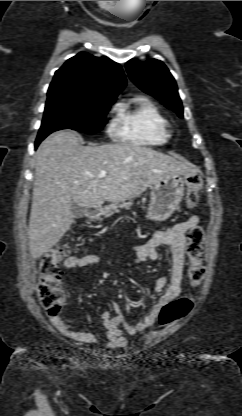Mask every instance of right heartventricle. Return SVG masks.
Here are the masks:
<instances>
[{
	"label": "right heart ventricle",
	"mask_w": 242,
	"mask_h": 416,
	"mask_svg": "<svg viewBox=\"0 0 242 416\" xmlns=\"http://www.w3.org/2000/svg\"><path fill=\"white\" fill-rule=\"evenodd\" d=\"M116 136L124 142L157 146L168 142L169 125L160 110L148 99L137 97L116 105Z\"/></svg>",
	"instance_id": "right-heart-ventricle-1"
}]
</instances>
